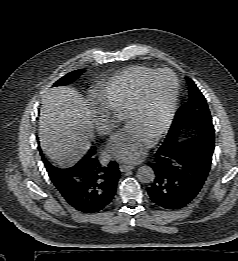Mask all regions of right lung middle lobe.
<instances>
[{
    "mask_svg": "<svg viewBox=\"0 0 238 261\" xmlns=\"http://www.w3.org/2000/svg\"><path fill=\"white\" fill-rule=\"evenodd\" d=\"M83 70H75L72 71L68 74H66L65 76H63L62 78H60L55 85H65L68 83H71L73 80H75L82 72ZM46 160V159H45ZM47 161V160H46ZM48 162V161H47ZM50 164V163H49ZM56 167L52 166L50 164V169H55ZM60 169V168H59Z\"/></svg>",
    "mask_w": 238,
    "mask_h": 261,
    "instance_id": "dd1d6c3e",
    "label": "right lung middle lobe"
}]
</instances>
